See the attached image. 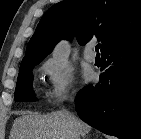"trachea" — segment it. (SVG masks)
Segmentation results:
<instances>
[{
    "label": "trachea",
    "instance_id": "1",
    "mask_svg": "<svg viewBox=\"0 0 141 139\" xmlns=\"http://www.w3.org/2000/svg\"><path fill=\"white\" fill-rule=\"evenodd\" d=\"M99 48H100V44H97L96 47H95V50H96L97 53L99 51Z\"/></svg>",
    "mask_w": 141,
    "mask_h": 139
}]
</instances>
